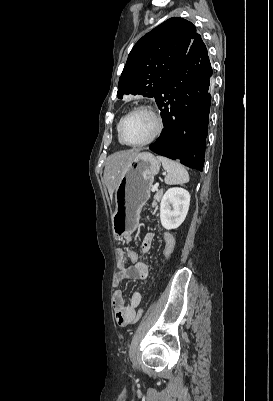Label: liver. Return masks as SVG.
Masks as SVG:
<instances>
[{"instance_id":"1","label":"liver","mask_w":273,"mask_h":401,"mask_svg":"<svg viewBox=\"0 0 273 401\" xmlns=\"http://www.w3.org/2000/svg\"><path fill=\"white\" fill-rule=\"evenodd\" d=\"M140 154L141 152H139L137 148H132V150H120V152H114V154L108 156L104 168V182L108 188L111 201L113 198V192L116 186H118V182H120L121 170H123L129 162L138 158Z\"/></svg>"}]
</instances>
